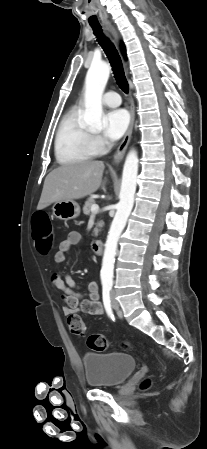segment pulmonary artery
Returning <instances> with one entry per match:
<instances>
[{"mask_svg":"<svg viewBox=\"0 0 207 449\" xmlns=\"http://www.w3.org/2000/svg\"><path fill=\"white\" fill-rule=\"evenodd\" d=\"M103 103L109 107H117L121 104V97L115 91H109L103 96Z\"/></svg>","mask_w":207,"mask_h":449,"instance_id":"obj_1","label":"pulmonary artery"}]
</instances>
